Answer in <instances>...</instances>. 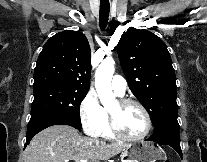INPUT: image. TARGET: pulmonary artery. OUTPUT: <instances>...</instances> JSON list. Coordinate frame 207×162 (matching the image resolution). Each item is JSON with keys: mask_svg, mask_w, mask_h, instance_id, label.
<instances>
[{"mask_svg": "<svg viewBox=\"0 0 207 162\" xmlns=\"http://www.w3.org/2000/svg\"><path fill=\"white\" fill-rule=\"evenodd\" d=\"M111 87L117 96L123 97L126 93L127 83L122 76L116 75L112 79Z\"/></svg>", "mask_w": 207, "mask_h": 162, "instance_id": "pulmonary-artery-1", "label": "pulmonary artery"}]
</instances>
